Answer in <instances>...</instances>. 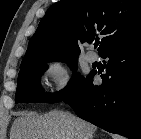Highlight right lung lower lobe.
<instances>
[{
    "label": "right lung lower lobe",
    "mask_w": 141,
    "mask_h": 139,
    "mask_svg": "<svg viewBox=\"0 0 141 139\" xmlns=\"http://www.w3.org/2000/svg\"><path fill=\"white\" fill-rule=\"evenodd\" d=\"M101 85L90 76L64 101L82 119L111 133L141 139V37L109 49Z\"/></svg>",
    "instance_id": "1"
}]
</instances>
